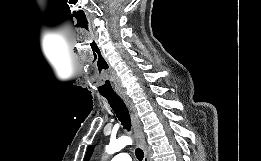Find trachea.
<instances>
[{"label":"trachea","instance_id":"1","mask_svg":"<svg viewBox=\"0 0 261 161\" xmlns=\"http://www.w3.org/2000/svg\"><path fill=\"white\" fill-rule=\"evenodd\" d=\"M103 96L108 100L112 110L114 111L117 118L123 125L124 129L129 131L131 128V119H130L129 111L125 103L121 99V97L118 95H103ZM135 155L139 161H142L144 157V152L140 148H137L135 150Z\"/></svg>","mask_w":261,"mask_h":161}]
</instances>
